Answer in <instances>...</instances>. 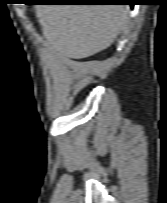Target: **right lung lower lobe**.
Listing matches in <instances>:
<instances>
[{"mask_svg":"<svg viewBox=\"0 0 167 203\" xmlns=\"http://www.w3.org/2000/svg\"><path fill=\"white\" fill-rule=\"evenodd\" d=\"M113 1H114V0H113ZM115 1H116V0H115ZM110 3H116V2H105V3L103 2V3H97V4H110ZM130 6L133 7L134 5L131 4Z\"/></svg>","mask_w":167,"mask_h":203,"instance_id":"right-lung-lower-lobe-1","label":"right lung lower lobe"}]
</instances>
